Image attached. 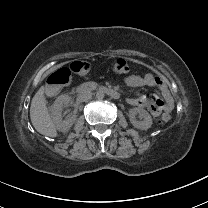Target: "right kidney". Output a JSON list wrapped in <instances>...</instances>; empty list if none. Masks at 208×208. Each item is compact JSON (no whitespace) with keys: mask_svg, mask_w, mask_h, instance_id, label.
Listing matches in <instances>:
<instances>
[{"mask_svg":"<svg viewBox=\"0 0 208 208\" xmlns=\"http://www.w3.org/2000/svg\"><path fill=\"white\" fill-rule=\"evenodd\" d=\"M70 103L71 98L68 95H60L51 107L53 122L57 130L61 132H68L77 120V115L75 113L67 120L62 119V112L65 107L70 105Z\"/></svg>","mask_w":208,"mask_h":208,"instance_id":"right-kidney-1","label":"right kidney"}]
</instances>
